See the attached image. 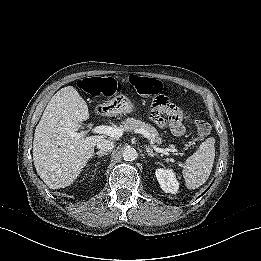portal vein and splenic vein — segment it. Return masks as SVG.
I'll return each instance as SVG.
<instances>
[{
	"label": "portal vein and splenic vein",
	"instance_id": "portal-vein-and-splenic-vein-1",
	"mask_svg": "<svg viewBox=\"0 0 261 261\" xmlns=\"http://www.w3.org/2000/svg\"><path fill=\"white\" fill-rule=\"evenodd\" d=\"M93 132L98 133V134H105V135H108V136H111V137H121L124 133V130L121 129V128H113L111 126L100 125V126L94 127ZM135 132L142 134L144 137L149 139L150 144L155 151H157L159 153H163L165 155H168L167 149L159 148V147L154 145L149 132H147L144 129H136ZM84 135H85V133H82V132L81 133H75L74 137L79 139V138L83 137Z\"/></svg>",
	"mask_w": 261,
	"mask_h": 261
}]
</instances>
